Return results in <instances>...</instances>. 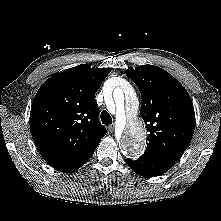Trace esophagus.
I'll use <instances>...</instances> for the list:
<instances>
[{
    "instance_id": "34e87169",
    "label": "esophagus",
    "mask_w": 221,
    "mask_h": 221,
    "mask_svg": "<svg viewBox=\"0 0 221 221\" xmlns=\"http://www.w3.org/2000/svg\"><path fill=\"white\" fill-rule=\"evenodd\" d=\"M114 125L113 124H111V125H109L108 126V130L110 131V132H113L114 131Z\"/></svg>"
}]
</instances>
